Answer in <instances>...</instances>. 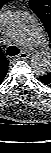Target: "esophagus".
I'll use <instances>...</instances> for the list:
<instances>
[{"label":"esophagus","mask_w":51,"mask_h":153,"mask_svg":"<svg viewBox=\"0 0 51 153\" xmlns=\"http://www.w3.org/2000/svg\"><path fill=\"white\" fill-rule=\"evenodd\" d=\"M29 56V54L25 51L21 52L17 57L18 59H26Z\"/></svg>","instance_id":"obj_1"}]
</instances>
